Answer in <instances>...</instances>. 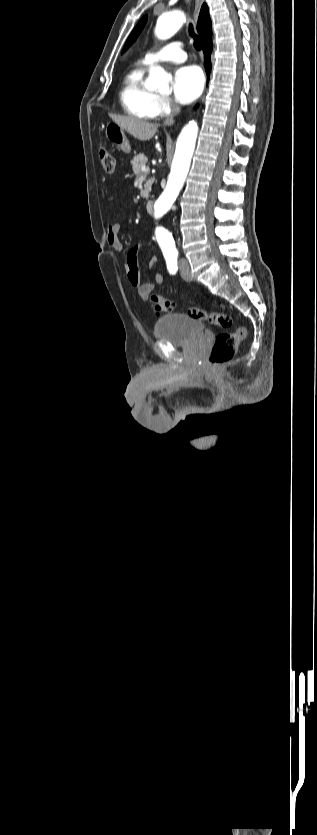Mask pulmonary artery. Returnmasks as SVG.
Here are the masks:
<instances>
[{
  "mask_svg": "<svg viewBox=\"0 0 317 835\" xmlns=\"http://www.w3.org/2000/svg\"><path fill=\"white\" fill-rule=\"evenodd\" d=\"M187 58L180 42H173L161 49L149 52L145 55L143 62L147 65L162 61L184 62Z\"/></svg>",
  "mask_w": 317,
  "mask_h": 835,
  "instance_id": "obj_1",
  "label": "pulmonary artery"
}]
</instances>
